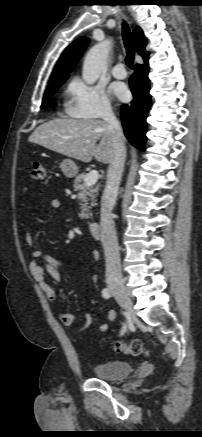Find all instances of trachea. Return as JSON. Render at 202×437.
I'll return each mask as SVG.
<instances>
[{
	"mask_svg": "<svg viewBox=\"0 0 202 437\" xmlns=\"http://www.w3.org/2000/svg\"><path fill=\"white\" fill-rule=\"evenodd\" d=\"M122 36H123V41H124V45L126 48V65L132 69L133 68V64H134V49H133V41H132V36L130 33V29L127 25L126 22H123L122 24Z\"/></svg>",
	"mask_w": 202,
	"mask_h": 437,
	"instance_id": "1",
	"label": "trachea"
}]
</instances>
